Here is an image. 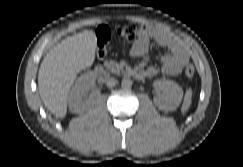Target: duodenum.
Segmentation results:
<instances>
[{"label": "duodenum", "instance_id": "obj_1", "mask_svg": "<svg viewBox=\"0 0 243 167\" xmlns=\"http://www.w3.org/2000/svg\"><path fill=\"white\" fill-rule=\"evenodd\" d=\"M94 74L98 79H103L105 78V68L102 65H97L94 68ZM135 76L138 77L137 74H135Z\"/></svg>", "mask_w": 243, "mask_h": 167}]
</instances>
